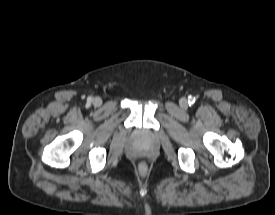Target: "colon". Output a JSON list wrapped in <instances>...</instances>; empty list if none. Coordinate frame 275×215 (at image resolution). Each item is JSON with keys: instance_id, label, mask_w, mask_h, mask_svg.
<instances>
[{"instance_id": "obj_1", "label": "colon", "mask_w": 275, "mask_h": 215, "mask_svg": "<svg viewBox=\"0 0 275 215\" xmlns=\"http://www.w3.org/2000/svg\"><path fill=\"white\" fill-rule=\"evenodd\" d=\"M139 170L141 172H145L147 170V165L145 163H140L139 164Z\"/></svg>"}]
</instances>
